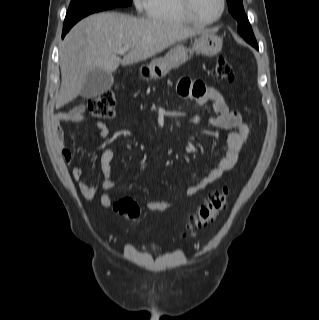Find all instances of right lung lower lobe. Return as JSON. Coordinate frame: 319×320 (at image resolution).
I'll return each mask as SVG.
<instances>
[{
	"label": "right lung lower lobe",
	"instance_id": "right-lung-lower-lobe-1",
	"mask_svg": "<svg viewBox=\"0 0 319 320\" xmlns=\"http://www.w3.org/2000/svg\"><path fill=\"white\" fill-rule=\"evenodd\" d=\"M69 30H70V28H69V29H63L62 38L66 35V33H67Z\"/></svg>",
	"mask_w": 319,
	"mask_h": 320
}]
</instances>
